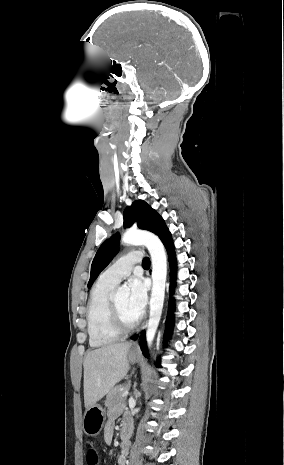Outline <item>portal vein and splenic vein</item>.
Returning a JSON list of instances; mask_svg holds the SVG:
<instances>
[{
  "mask_svg": "<svg viewBox=\"0 0 284 465\" xmlns=\"http://www.w3.org/2000/svg\"><path fill=\"white\" fill-rule=\"evenodd\" d=\"M129 391H124V393H122L121 397H127Z\"/></svg>",
  "mask_w": 284,
  "mask_h": 465,
  "instance_id": "1",
  "label": "portal vein and splenic vein"
}]
</instances>
